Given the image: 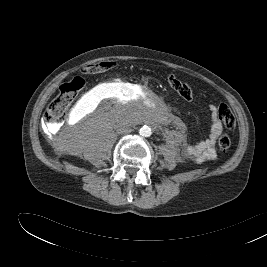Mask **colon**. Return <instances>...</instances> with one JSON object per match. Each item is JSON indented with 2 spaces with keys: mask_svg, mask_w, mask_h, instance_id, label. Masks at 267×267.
<instances>
[{
  "mask_svg": "<svg viewBox=\"0 0 267 267\" xmlns=\"http://www.w3.org/2000/svg\"><path fill=\"white\" fill-rule=\"evenodd\" d=\"M107 63H98L89 65L85 68V73H97L108 67ZM168 85L184 100L190 101L193 98L192 88L185 82L181 81L174 75H170L167 79ZM84 87V80L80 77H75L71 81L63 84L60 87L58 95L49 104L45 112V123L47 125H55L61 122L70 105L78 93ZM219 116L225 127L233 129L235 127V117L230 108L221 104L218 106ZM218 146L221 151H227L231 146V139L228 135H222L218 140Z\"/></svg>",
  "mask_w": 267,
  "mask_h": 267,
  "instance_id": "obj_1",
  "label": "colon"
}]
</instances>
